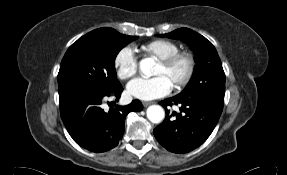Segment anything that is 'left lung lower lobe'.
I'll return each mask as SVG.
<instances>
[{"label": "left lung lower lobe", "mask_w": 287, "mask_h": 175, "mask_svg": "<svg viewBox=\"0 0 287 175\" xmlns=\"http://www.w3.org/2000/svg\"><path fill=\"white\" fill-rule=\"evenodd\" d=\"M166 118L154 129L157 141L174 153L190 152L210 136L223 110V105L203 97L178 95L161 101ZM180 106V113H170L167 106Z\"/></svg>", "instance_id": "left-lung-lower-lobe-1"}]
</instances>
